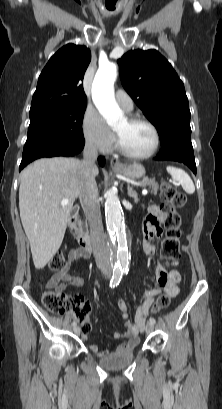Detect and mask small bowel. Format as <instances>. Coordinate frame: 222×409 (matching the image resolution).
I'll use <instances>...</instances> for the list:
<instances>
[{
	"instance_id": "small-bowel-1",
	"label": "small bowel",
	"mask_w": 222,
	"mask_h": 409,
	"mask_svg": "<svg viewBox=\"0 0 222 409\" xmlns=\"http://www.w3.org/2000/svg\"><path fill=\"white\" fill-rule=\"evenodd\" d=\"M163 218L164 214L158 205L151 204L148 206V215L145 219L142 233V246L144 253L147 256H153L156 252L154 240L159 238L162 234L161 223ZM87 258L88 255H86L81 249H71L66 260L65 268L62 271L53 274L47 281L46 286L62 292L68 285H82V278L70 274L69 270L74 262L85 260ZM174 262H177V259H174ZM156 273V286L152 289L145 290L142 293L135 311L134 322L130 320L128 304L123 299L117 301V306L121 312V317L124 323V330L121 332H115L114 338L127 340L124 344L118 347V351L132 349L139 343V334L145 327L146 318L150 314L149 310H151L152 304L155 302L157 295L163 292L169 297H175L179 294L181 276L177 270L168 271L164 269L161 264H158ZM84 338L86 337L84 336ZM91 350L94 354L103 357L110 354L108 349H99L96 346H92Z\"/></svg>"
}]
</instances>
